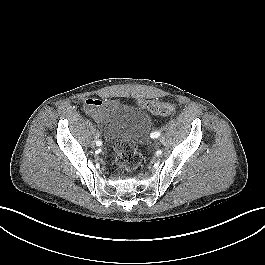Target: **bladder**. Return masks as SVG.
Instances as JSON below:
<instances>
[{
    "label": "bladder",
    "instance_id": "31cf9c89",
    "mask_svg": "<svg viewBox=\"0 0 265 265\" xmlns=\"http://www.w3.org/2000/svg\"><path fill=\"white\" fill-rule=\"evenodd\" d=\"M151 126L150 116L135 107L112 106L108 121L107 133L114 142L132 141L141 143L147 139Z\"/></svg>",
    "mask_w": 265,
    "mask_h": 265
}]
</instances>
